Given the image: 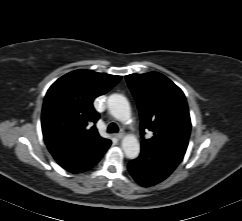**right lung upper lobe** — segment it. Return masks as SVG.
Masks as SVG:
<instances>
[{
    "label": "right lung upper lobe",
    "mask_w": 242,
    "mask_h": 221,
    "mask_svg": "<svg viewBox=\"0 0 242 221\" xmlns=\"http://www.w3.org/2000/svg\"><path fill=\"white\" fill-rule=\"evenodd\" d=\"M121 77L90 70L72 71L52 84L42 109V131L54 159L66 170L90 169L109 148L94 124L99 114L93 100L108 92Z\"/></svg>",
    "instance_id": "obj_1"
}]
</instances>
